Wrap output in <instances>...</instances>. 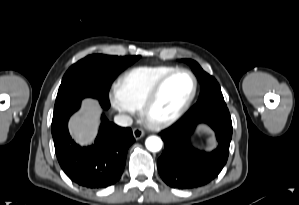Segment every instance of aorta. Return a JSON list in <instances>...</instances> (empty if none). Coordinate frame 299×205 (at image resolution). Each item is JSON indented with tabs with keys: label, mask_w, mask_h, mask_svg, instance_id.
Segmentation results:
<instances>
[{
	"label": "aorta",
	"mask_w": 299,
	"mask_h": 205,
	"mask_svg": "<svg viewBox=\"0 0 299 205\" xmlns=\"http://www.w3.org/2000/svg\"><path fill=\"white\" fill-rule=\"evenodd\" d=\"M163 145L162 140L157 136H150L145 141L146 148L151 152H158Z\"/></svg>",
	"instance_id": "1"
}]
</instances>
